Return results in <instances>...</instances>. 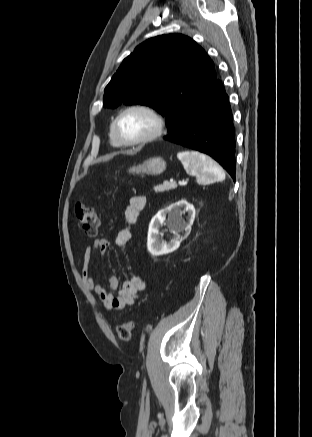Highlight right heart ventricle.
Returning <instances> with one entry per match:
<instances>
[{"instance_id": "1", "label": "right heart ventricle", "mask_w": 312, "mask_h": 437, "mask_svg": "<svg viewBox=\"0 0 312 437\" xmlns=\"http://www.w3.org/2000/svg\"><path fill=\"white\" fill-rule=\"evenodd\" d=\"M109 141L110 144L113 147H121L123 144L119 141L118 137L115 134L114 128H113V122L110 125V129H109Z\"/></svg>"}]
</instances>
